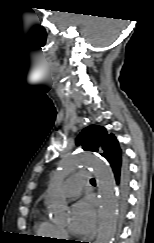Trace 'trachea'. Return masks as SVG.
Returning <instances> with one entry per match:
<instances>
[{"label":"trachea","mask_w":154,"mask_h":243,"mask_svg":"<svg viewBox=\"0 0 154 243\" xmlns=\"http://www.w3.org/2000/svg\"><path fill=\"white\" fill-rule=\"evenodd\" d=\"M90 181H91V182H95V179H91Z\"/></svg>","instance_id":"obj_1"}]
</instances>
